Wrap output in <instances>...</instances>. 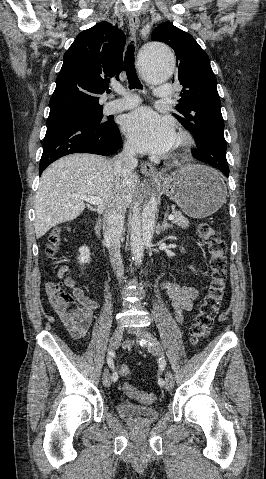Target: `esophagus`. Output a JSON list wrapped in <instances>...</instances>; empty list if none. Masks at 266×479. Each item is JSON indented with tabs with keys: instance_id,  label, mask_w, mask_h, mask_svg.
I'll list each match as a JSON object with an SVG mask.
<instances>
[{
	"instance_id": "34e87169",
	"label": "esophagus",
	"mask_w": 266,
	"mask_h": 479,
	"mask_svg": "<svg viewBox=\"0 0 266 479\" xmlns=\"http://www.w3.org/2000/svg\"><path fill=\"white\" fill-rule=\"evenodd\" d=\"M139 26H140V21H139L138 15L135 13H132L129 17V27H130V32L132 35L136 34V32L139 29ZM140 170L144 175L148 177H152L155 179H162V176L158 172H156L154 166H152L148 162H142L140 165Z\"/></svg>"
}]
</instances>
